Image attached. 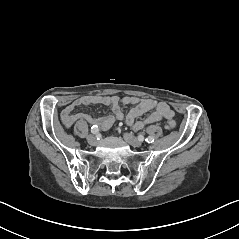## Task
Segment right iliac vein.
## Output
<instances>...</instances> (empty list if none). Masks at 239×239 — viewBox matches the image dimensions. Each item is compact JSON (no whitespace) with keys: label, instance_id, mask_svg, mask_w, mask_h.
<instances>
[{"label":"right iliac vein","instance_id":"1","mask_svg":"<svg viewBox=\"0 0 239 239\" xmlns=\"http://www.w3.org/2000/svg\"><path fill=\"white\" fill-rule=\"evenodd\" d=\"M87 141H88V143H89L90 145H96V144L98 143L97 138H96L95 136H93V135H89V136L87 137Z\"/></svg>","mask_w":239,"mask_h":239}]
</instances>
